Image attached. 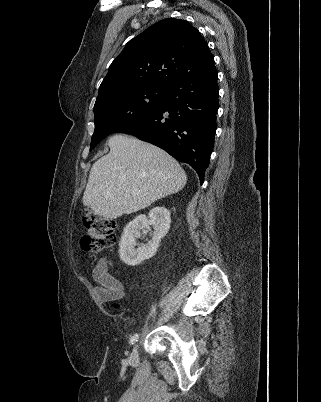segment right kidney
<instances>
[{"label": "right kidney", "mask_w": 321, "mask_h": 402, "mask_svg": "<svg viewBox=\"0 0 321 402\" xmlns=\"http://www.w3.org/2000/svg\"><path fill=\"white\" fill-rule=\"evenodd\" d=\"M170 224V211L162 206L151 209L149 219L143 214L135 217L125 226L119 242V255L122 262L129 266H136L153 257L161 239L168 233ZM149 225L154 228L152 239L147 244L135 248L136 238L140 236V231H144L145 234Z\"/></svg>", "instance_id": "right-kidney-1"}]
</instances>
